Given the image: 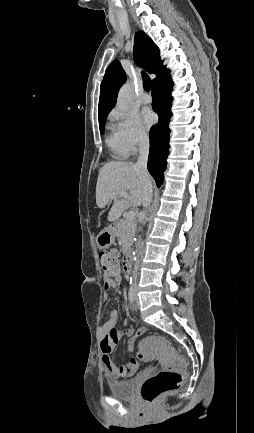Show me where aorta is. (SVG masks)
Returning <instances> with one entry per match:
<instances>
[{
    "label": "aorta",
    "instance_id": "aorta-1",
    "mask_svg": "<svg viewBox=\"0 0 254 433\" xmlns=\"http://www.w3.org/2000/svg\"><path fill=\"white\" fill-rule=\"evenodd\" d=\"M133 101L132 92L129 84L122 86L117 97V106L122 111H127Z\"/></svg>",
    "mask_w": 254,
    "mask_h": 433
}]
</instances>
